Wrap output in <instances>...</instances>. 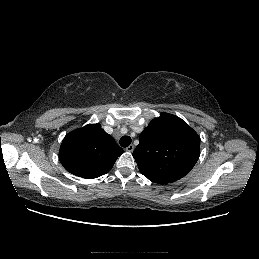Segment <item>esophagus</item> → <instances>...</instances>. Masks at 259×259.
Returning <instances> with one entry per match:
<instances>
[{
	"instance_id": "34e87169",
	"label": "esophagus",
	"mask_w": 259,
	"mask_h": 259,
	"mask_svg": "<svg viewBox=\"0 0 259 259\" xmlns=\"http://www.w3.org/2000/svg\"><path fill=\"white\" fill-rule=\"evenodd\" d=\"M133 150H134V145H133V144L129 145V146L126 148V151H128V152H133Z\"/></svg>"
}]
</instances>
